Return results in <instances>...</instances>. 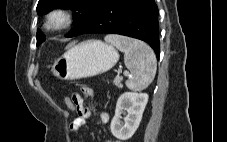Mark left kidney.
I'll list each match as a JSON object with an SVG mask.
<instances>
[{"instance_id":"1","label":"left kidney","mask_w":227,"mask_h":142,"mask_svg":"<svg viewBox=\"0 0 227 142\" xmlns=\"http://www.w3.org/2000/svg\"><path fill=\"white\" fill-rule=\"evenodd\" d=\"M148 102V94L125 92L117 100L115 115L111 121V133L119 140H127L133 136L142 119ZM121 114H125L124 122Z\"/></svg>"}]
</instances>
